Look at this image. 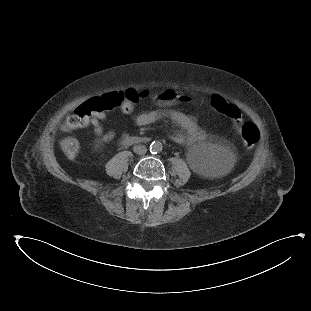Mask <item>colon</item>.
Wrapping results in <instances>:
<instances>
[{"label":"colon","instance_id":"colon-1","mask_svg":"<svg viewBox=\"0 0 311 311\" xmlns=\"http://www.w3.org/2000/svg\"><path fill=\"white\" fill-rule=\"evenodd\" d=\"M149 95L148 88H142L135 91H119L103 98L100 103L95 100L88 101L85 105L80 106L77 112L67 115L63 124L67 130L74 131L85 124H88L101 111L109 114L117 109L122 108L125 112H131L140 100L145 99ZM211 102L214 106L220 107V110L228 118L236 123H240L242 113L229 102H224L221 95L216 94L212 97ZM243 147L246 149L253 148L260 138L258 128L251 123H246L242 130ZM80 142L75 138L64 139L61 143V150L68 159H75L80 153Z\"/></svg>","mask_w":311,"mask_h":311}]
</instances>
